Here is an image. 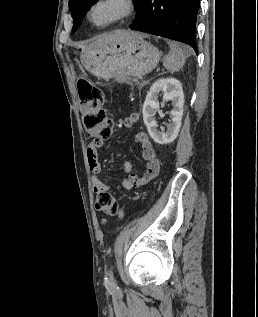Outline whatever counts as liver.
I'll return each mask as SVG.
<instances>
[{"label":"liver","mask_w":258,"mask_h":317,"mask_svg":"<svg viewBox=\"0 0 258 317\" xmlns=\"http://www.w3.org/2000/svg\"><path fill=\"white\" fill-rule=\"evenodd\" d=\"M128 38H131L130 30H114L113 34H100L96 40L91 38L94 42H89L87 46H98L102 42H115V40H128Z\"/></svg>","instance_id":"obj_1"}]
</instances>
